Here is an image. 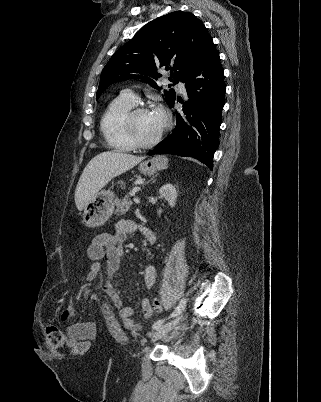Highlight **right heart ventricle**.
Listing matches in <instances>:
<instances>
[{
  "label": "right heart ventricle",
  "instance_id": "obj_1",
  "mask_svg": "<svg viewBox=\"0 0 321 402\" xmlns=\"http://www.w3.org/2000/svg\"><path fill=\"white\" fill-rule=\"evenodd\" d=\"M134 105L117 97L104 110L100 120V131L109 148L121 152L135 149L126 137L123 127L124 116Z\"/></svg>",
  "mask_w": 321,
  "mask_h": 402
}]
</instances>
